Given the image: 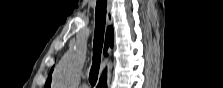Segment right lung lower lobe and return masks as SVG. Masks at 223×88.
Instances as JSON below:
<instances>
[{"mask_svg": "<svg viewBox=\"0 0 223 88\" xmlns=\"http://www.w3.org/2000/svg\"><path fill=\"white\" fill-rule=\"evenodd\" d=\"M98 88H106V78L105 76H102L100 81H99V85L97 86Z\"/></svg>", "mask_w": 223, "mask_h": 88, "instance_id": "1", "label": "right lung lower lobe"}]
</instances>
